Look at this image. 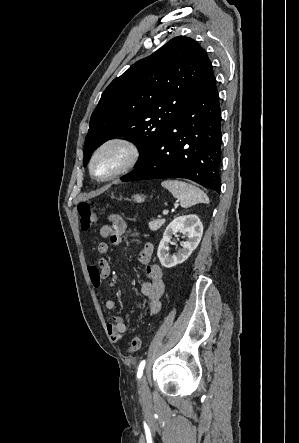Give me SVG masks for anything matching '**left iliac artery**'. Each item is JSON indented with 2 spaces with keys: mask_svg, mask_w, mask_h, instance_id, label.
I'll return each instance as SVG.
<instances>
[{
  "mask_svg": "<svg viewBox=\"0 0 299 443\" xmlns=\"http://www.w3.org/2000/svg\"><path fill=\"white\" fill-rule=\"evenodd\" d=\"M146 361L142 360L138 366V371H137V378L140 380L142 375H143V370L145 367Z\"/></svg>",
  "mask_w": 299,
  "mask_h": 443,
  "instance_id": "obj_1",
  "label": "left iliac artery"
}]
</instances>
